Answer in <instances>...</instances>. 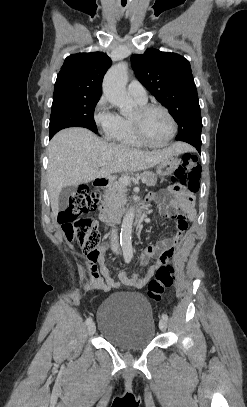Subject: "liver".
<instances>
[{
  "label": "liver",
  "instance_id": "obj_1",
  "mask_svg": "<svg viewBox=\"0 0 247 407\" xmlns=\"http://www.w3.org/2000/svg\"><path fill=\"white\" fill-rule=\"evenodd\" d=\"M189 149L187 144L178 142L162 150L141 151L107 143L85 128L64 129L52 138L48 149L52 217H57L58 198L64 187L88 183L113 173L145 170ZM103 162L107 164L100 166Z\"/></svg>",
  "mask_w": 247,
  "mask_h": 407
}]
</instances>
